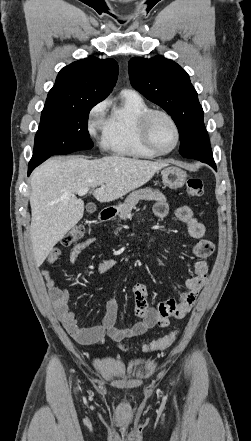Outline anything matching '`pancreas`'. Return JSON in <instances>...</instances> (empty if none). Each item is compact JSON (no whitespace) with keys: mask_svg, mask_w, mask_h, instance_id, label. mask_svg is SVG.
<instances>
[{"mask_svg":"<svg viewBox=\"0 0 251 441\" xmlns=\"http://www.w3.org/2000/svg\"><path fill=\"white\" fill-rule=\"evenodd\" d=\"M140 200L148 201H165V196L159 191L152 188H144L133 191L125 199L124 203L120 206L119 218L126 220L131 217L132 210L136 207Z\"/></svg>","mask_w":251,"mask_h":441,"instance_id":"obj_1","label":"pancreas"}]
</instances>
